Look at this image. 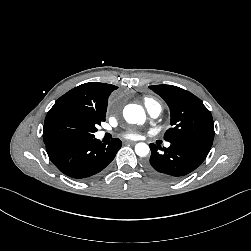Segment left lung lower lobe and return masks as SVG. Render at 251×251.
Wrapping results in <instances>:
<instances>
[{
    "label": "left lung lower lobe",
    "instance_id": "obj_1",
    "mask_svg": "<svg viewBox=\"0 0 251 251\" xmlns=\"http://www.w3.org/2000/svg\"><path fill=\"white\" fill-rule=\"evenodd\" d=\"M168 148L150 144L147 170L164 181H175L195 170L207 157L211 146L194 141L170 142ZM162 152H161V151Z\"/></svg>",
    "mask_w": 251,
    "mask_h": 251
}]
</instances>
